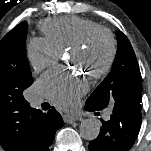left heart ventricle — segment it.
<instances>
[{"label":"left heart ventricle","mask_w":151,"mask_h":151,"mask_svg":"<svg viewBox=\"0 0 151 151\" xmlns=\"http://www.w3.org/2000/svg\"><path fill=\"white\" fill-rule=\"evenodd\" d=\"M108 43L104 37L98 38L92 47L83 53L71 54V61L78 68L87 72L98 69L101 67L108 56Z\"/></svg>","instance_id":"left-heart-ventricle-1"}]
</instances>
